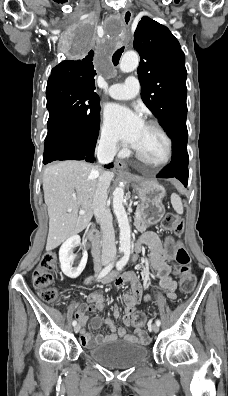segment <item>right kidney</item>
<instances>
[{
	"instance_id": "1",
	"label": "right kidney",
	"mask_w": 228,
	"mask_h": 396,
	"mask_svg": "<svg viewBox=\"0 0 228 396\" xmlns=\"http://www.w3.org/2000/svg\"><path fill=\"white\" fill-rule=\"evenodd\" d=\"M80 245H81L80 236L74 235L68 238L62 244L59 250V260L61 263V270L66 276L72 279L77 278L82 273L87 263L88 254L87 251H84L79 265L77 267L72 266L75 257L73 254V248Z\"/></svg>"
}]
</instances>
